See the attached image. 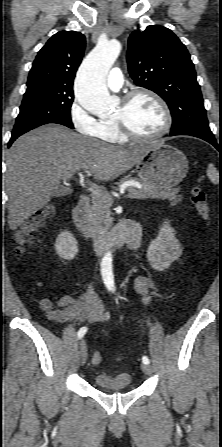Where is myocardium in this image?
Masks as SVG:
<instances>
[{
	"mask_svg": "<svg viewBox=\"0 0 222 447\" xmlns=\"http://www.w3.org/2000/svg\"><path fill=\"white\" fill-rule=\"evenodd\" d=\"M138 95H147L160 106L164 115V123L162 128L153 135H140L134 132L133 129L129 126L123 113L116 116L113 121L119 128L121 134L126 139L136 142H148L160 139L165 134H167L168 131L171 129L173 121L171 110L166 101L159 94L148 88H137L133 91L126 93L123 96L121 102L123 109H125L130 104V102Z\"/></svg>",
	"mask_w": 222,
	"mask_h": 447,
	"instance_id": "myocardium-1",
	"label": "myocardium"
}]
</instances>
